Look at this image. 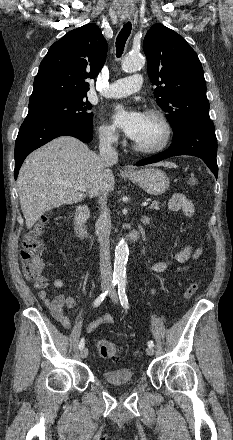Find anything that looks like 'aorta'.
Listing matches in <instances>:
<instances>
[{
	"mask_svg": "<svg viewBox=\"0 0 233 440\" xmlns=\"http://www.w3.org/2000/svg\"><path fill=\"white\" fill-rule=\"evenodd\" d=\"M144 60L140 55L127 56L122 62V69L125 72H135L141 68ZM129 255V248L125 239H121L115 248V262L113 276L116 280L126 278V264Z\"/></svg>",
	"mask_w": 233,
	"mask_h": 440,
	"instance_id": "1",
	"label": "aorta"
}]
</instances>
